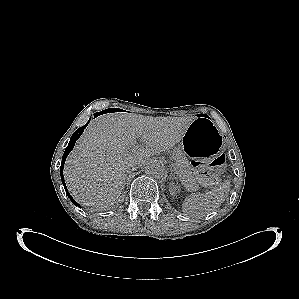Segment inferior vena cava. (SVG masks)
<instances>
[{
	"label": "inferior vena cava",
	"instance_id": "obj_1",
	"mask_svg": "<svg viewBox=\"0 0 299 299\" xmlns=\"http://www.w3.org/2000/svg\"><path fill=\"white\" fill-rule=\"evenodd\" d=\"M137 168H138L137 164H131L128 172L134 171Z\"/></svg>",
	"mask_w": 299,
	"mask_h": 299
}]
</instances>
